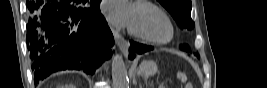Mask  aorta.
<instances>
[{
    "label": "aorta",
    "instance_id": "762f6f07",
    "mask_svg": "<svg viewBox=\"0 0 267 88\" xmlns=\"http://www.w3.org/2000/svg\"><path fill=\"white\" fill-rule=\"evenodd\" d=\"M112 80L114 88H129L127 67L120 54L112 57Z\"/></svg>",
    "mask_w": 267,
    "mask_h": 88
}]
</instances>
